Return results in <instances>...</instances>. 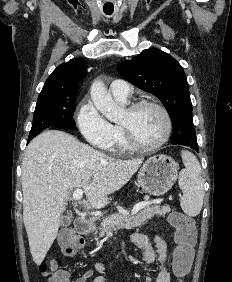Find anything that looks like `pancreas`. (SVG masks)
<instances>
[{
    "mask_svg": "<svg viewBox=\"0 0 232 282\" xmlns=\"http://www.w3.org/2000/svg\"><path fill=\"white\" fill-rule=\"evenodd\" d=\"M170 211L168 205L152 206L143 208L138 214L129 215L115 213L104 219L99 226V237H103L108 231H117L119 229H132L140 227L148 220L156 216H164Z\"/></svg>",
    "mask_w": 232,
    "mask_h": 282,
    "instance_id": "1",
    "label": "pancreas"
}]
</instances>
